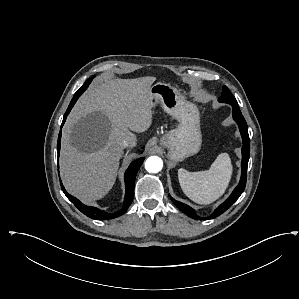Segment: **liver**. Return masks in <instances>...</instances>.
<instances>
[{
	"label": "liver",
	"instance_id": "liver-1",
	"mask_svg": "<svg viewBox=\"0 0 299 299\" xmlns=\"http://www.w3.org/2000/svg\"><path fill=\"white\" fill-rule=\"evenodd\" d=\"M155 80L147 76L93 84L71 111L62 134L60 174L66 190L83 203L101 199L113 187L122 141L130 130L141 133L151 126ZM79 121L85 123L75 130Z\"/></svg>",
	"mask_w": 299,
	"mask_h": 299
}]
</instances>
